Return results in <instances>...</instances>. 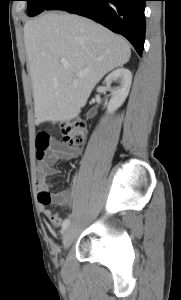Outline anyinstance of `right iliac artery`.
Listing matches in <instances>:
<instances>
[{"label": "right iliac artery", "mask_w": 181, "mask_h": 300, "mask_svg": "<svg viewBox=\"0 0 181 300\" xmlns=\"http://www.w3.org/2000/svg\"><path fill=\"white\" fill-rule=\"evenodd\" d=\"M69 224H70V220L65 219L62 224V231H64L69 226Z\"/></svg>", "instance_id": "82829eb1"}]
</instances>
